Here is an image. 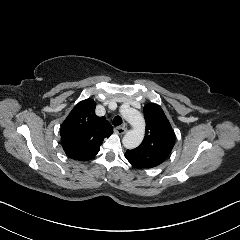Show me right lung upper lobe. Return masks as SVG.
Returning <instances> with one entry per match:
<instances>
[{
	"label": "right lung upper lobe",
	"mask_w": 240,
	"mask_h": 240,
	"mask_svg": "<svg viewBox=\"0 0 240 240\" xmlns=\"http://www.w3.org/2000/svg\"><path fill=\"white\" fill-rule=\"evenodd\" d=\"M95 107L92 99L81 101L61 125V143L67 156L72 159L87 161L93 158L104 138L113 132L104 117L95 115Z\"/></svg>",
	"instance_id": "right-lung-upper-lobe-1"
}]
</instances>
